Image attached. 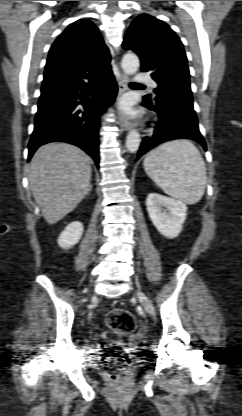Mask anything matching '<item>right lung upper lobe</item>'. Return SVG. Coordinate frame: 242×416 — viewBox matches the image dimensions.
<instances>
[{"label": "right lung upper lobe", "mask_w": 242, "mask_h": 416, "mask_svg": "<svg viewBox=\"0 0 242 416\" xmlns=\"http://www.w3.org/2000/svg\"><path fill=\"white\" fill-rule=\"evenodd\" d=\"M109 63V49L97 27L89 20H78L53 43L41 92L102 76L111 70Z\"/></svg>", "instance_id": "obj_1"}]
</instances>
